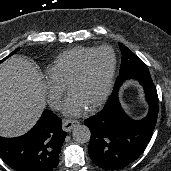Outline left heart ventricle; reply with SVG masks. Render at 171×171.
I'll list each match as a JSON object with an SVG mask.
<instances>
[{"label":"left heart ventricle","mask_w":171,"mask_h":171,"mask_svg":"<svg viewBox=\"0 0 171 171\" xmlns=\"http://www.w3.org/2000/svg\"><path fill=\"white\" fill-rule=\"evenodd\" d=\"M112 63L113 57L109 51L97 53L82 77L71 87L70 93L76 94L88 107L92 106L105 90Z\"/></svg>","instance_id":"b2bd125f"}]
</instances>
